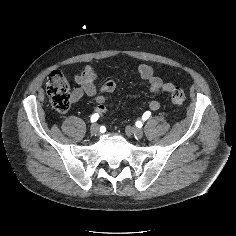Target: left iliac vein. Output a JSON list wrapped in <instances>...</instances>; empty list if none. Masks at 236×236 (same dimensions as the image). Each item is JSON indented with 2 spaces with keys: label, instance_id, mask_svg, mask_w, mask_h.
<instances>
[{
  "label": "left iliac vein",
  "instance_id": "left-iliac-vein-1",
  "mask_svg": "<svg viewBox=\"0 0 236 236\" xmlns=\"http://www.w3.org/2000/svg\"><path fill=\"white\" fill-rule=\"evenodd\" d=\"M128 131L135 137V138H142L143 135H144V132L142 129H139V128H132V127H128L127 128Z\"/></svg>",
  "mask_w": 236,
  "mask_h": 236
}]
</instances>
